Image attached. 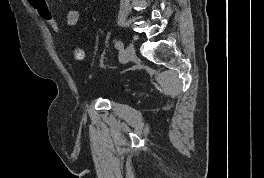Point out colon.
<instances>
[{
  "instance_id": "colon-1",
  "label": "colon",
  "mask_w": 264,
  "mask_h": 178,
  "mask_svg": "<svg viewBox=\"0 0 264 178\" xmlns=\"http://www.w3.org/2000/svg\"><path fill=\"white\" fill-rule=\"evenodd\" d=\"M30 6L39 14V16L46 22L54 31H60L59 22L50 9L46 0H27ZM73 58L76 60H83L85 51L83 48H75L72 52Z\"/></svg>"
}]
</instances>
